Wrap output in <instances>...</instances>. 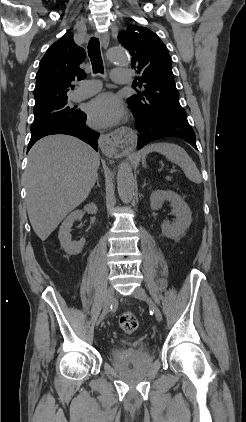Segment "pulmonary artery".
<instances>
[{
    "label": "pulmonary artery",
    "mask_w": 246,
    "mask_h": 422,
    "mask_svg": "<svg viewBox=\"0 0 246 422\" xmlns=\"http://www.w3.org/2000/svg\"><path fill=\"white\" fill-rule=\"evenodd\" d=\"M113 81L118 84H128L131 82V74L126 69H115L112 73ZM100 89V83L96 80H86L79 84L78 88L71 96L72 101H80L86 99Z\"/></svg>",
    "instance_id": "e3ab8cb5"
}]
</instances>
